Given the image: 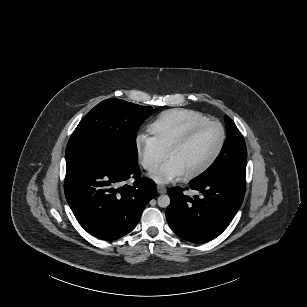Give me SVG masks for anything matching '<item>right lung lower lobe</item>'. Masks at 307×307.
<instances>
[{
    "label": "right lung lower lobe",
    "mask_w": 307,
    "mask_h": 307,
    "mask_svg": "<svg viewBox=\"0 0 307 307\" xmlns=\"http://www.w3.org/2000/svg\"><path fill=\"white\" fill-rule=\"evenodd\" d=\"M135 178L132 186L115 188ZM64 191L80 225L91 235L113 240L132 231L156 185L140 177L139 166L130 167L105 156H86L66 162Z\"/></svg>",
    "instance_id": "98d812e1"
}]
</instances>
